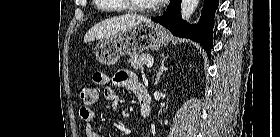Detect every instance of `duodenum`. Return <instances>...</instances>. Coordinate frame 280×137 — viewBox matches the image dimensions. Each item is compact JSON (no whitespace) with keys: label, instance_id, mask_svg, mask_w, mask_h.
Listing matches in <instances>:
<instances>
[{"label":"duodenum","instance_id":"410a0bca","mask_svg":"<svg viewBox=\"0 0 280 137\" xmlns=\"http://www.w3.org/2000/svg\"><path fill=\"white\" fill-rule=\"evenodd\" d=\"M137 97L139 99V103L141 106V114L144 117L150 116L152 113L151 99H150L149 92L145 85L142 84L139 87L138 92H137Z\"/></svg>","mask_w":280,"mask_h":137}]
</instances>
